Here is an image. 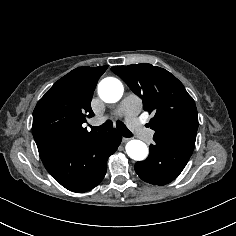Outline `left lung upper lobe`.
<instances>
[{
  "label": "left lung upper lobe",
  "mask_w": 236,
  "mask_h": 236,
  "mask_svg": "<svg viewBox=\"0 0 236 236\" xmlns=\"http://www.w3.org/2000/svg\"><path fill=\"white\" fill-rule=\"evenodd\" d=\"M111 70L142 99L145 111L155 113L149 122L155 131L153 140L193 152L197 109L183 84L167 70L151 64L114 66Z\"/></svg>",
  "instance_id": "1"
}]
</instances>
